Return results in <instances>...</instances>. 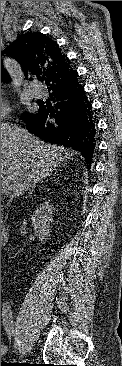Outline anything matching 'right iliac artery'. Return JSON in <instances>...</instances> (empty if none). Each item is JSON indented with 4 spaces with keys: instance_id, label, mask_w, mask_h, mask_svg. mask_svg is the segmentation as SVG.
<instances>
[{
    "instance_id": "right-iliac-artery-1",
    "label": "right iliac artery",
    "mask_w": 122,
    "mask_h": 366,
    "mask_svg": "<svg viewBox=\"0 0 122 366\" xmlns=\"http://www.w3.org/2000/svg\"><path fill=\"white\" fill-rule=\"evenodd\" d=\"M2 316H3V325L5 327V330L11 336L14 333V327H13V321H12V312L7 303L3 304Z\"/></svg>"
}]
</instances>
